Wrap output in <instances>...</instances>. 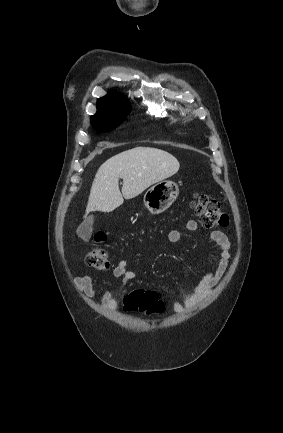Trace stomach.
Here are the masks:
<instances>
[{
    "label": "stomach",
    "mask_w": 283,
    "mask_h": 433,
    "mask_svg": "<svg viewBox=\"0 0 283 433\" xmlns=\"http://www.w3.org/2000/svg\"><path fill=\"white\" fill-rule=\"evenodd\" d=\"M179 194V186L173 180H159L144 194V204L152 214L166 210Z\"/></svg>",
    "instance_id": "stomach-1"
}]
</instances>
